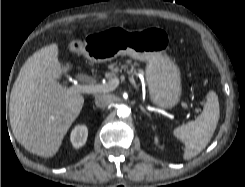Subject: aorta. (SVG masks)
I'll list each match as a JSON object with an SVG mask.
<instances>
[{
  "mask_svg": "<svg viewBox=\"0 0 245 187\" xmlns=\"http://www.w3.org/2000/svg\"><path fill=\"white\" fill-rule=\"evenodd\" d=\"M129 114H130L129 107H127L124 104H121V105L118 106V108H117V115L119 117H123L124 118V117L129 116Z\"/></svg>",
  "mask_w": 245,
  "mask_h": 187,
  "instance_id": "aorta-1",
  "label": "aorta"
}]
</instances>
